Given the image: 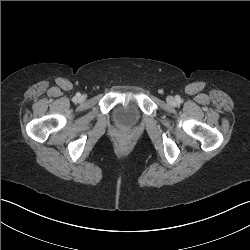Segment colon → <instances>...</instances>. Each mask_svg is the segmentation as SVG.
<instances>
[{
    "label": "colon",
    "instance_id": "colon-1",
    "mask_svg": "<svg viewBox=\"0 0 250 250\" xmlns=\"http://www.w3.org/2000/svg\"><path fill=\"white\" fill-rule=\"evenodd\" d=\"M120 145H121V146H124V145H125V143H124V142H121V143H120Z\"/></svg>",
    "mask_w": 250,
    "mask_h": 250
}]
</instances>
